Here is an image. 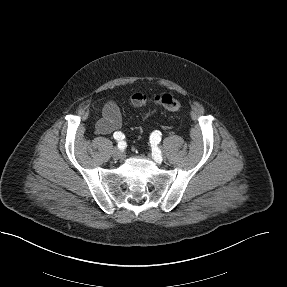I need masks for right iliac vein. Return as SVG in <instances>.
I'll list each match as a JSON object with an SVG mask.
<instances>
[{
	"mask_svg": "<svg viewBox=\"0 0 287 287\" xmlns=\"http://www.w3.org/2000/svg\"><path fill=\"white\" fill-rule=\"evenodd\" d=\"M112 156L114 159H121L123 157V151H121L119 148H114L112 151Z\"/></svg>",
	"mask_w": 287,
	"mask_h": 287,
	"instance_id": "1",
	"label": "right iliac vein"
}]
</instances>
